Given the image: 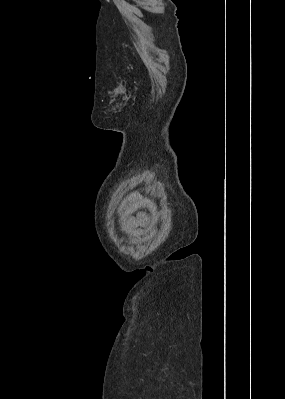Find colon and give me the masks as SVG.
Instances as JSON below:
<instances>
[{
    "instance_id": "colon-1",
    "label": "colon",
    "mask_w": 285,
    "mask_h": 399,
    "mask_svg": "<svg viewBox=\"0 0 285 399\" xmlns=\"http://www.w3.org/2000/svg\"><path fill=\"white\" fill-rule=\"evenodd\" d=\"M151 223V219L145 214L140 213L126 218L121 226L120 230L123 232H129L131 234H138L142 229Z\"/></svg>"
}]
</instances>
